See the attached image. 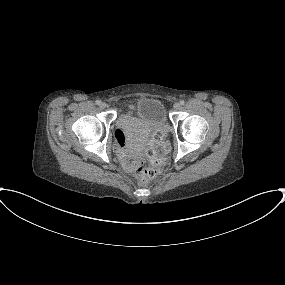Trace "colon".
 <instances>
[{
  "label": "colon",
  "mask_w": 285,
  "mask_h": 285,
  "mask_svg": "<svg viewBox=\"0 0 285 285\" xmlns=\"http://www.w3.org/2000/svg\"><path fill=\"white\" fill-rule=\"evenodd\" d=\"M145 157L150 163L151 167H145V165L141 162L134 163L132 167L133 170L136 171L137 179L140 182H147L153 179L157 170L162 168L165 163V156L157 152L153 145L148 147L145 152Z\"/></svg>",
  "instance_id": "1"
}]
</instances>
